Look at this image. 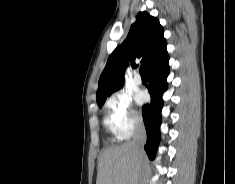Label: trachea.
I'll use <instances>...</instances> for the list:
<instances>
[{
	"mask_svg": "<svg viewBox=\"0 0 235 184\" xmlns=\"http://www.w3.org/2000/svg\"><path fill=\"white\" fill-rule=\"evenodd\" d=\"M140 74H141V77H146L144 65L140 66Z\"/></svg>",
	"mask_w": 235,
	"mask_h": 184,
	"instance_id": "trachea-1",
	"label": "trachea"
}]
</instances>
